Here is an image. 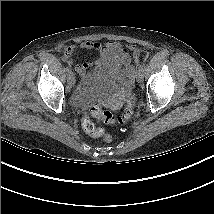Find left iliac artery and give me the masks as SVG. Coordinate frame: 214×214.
<instances>
[{
    "label": "left iliac artery",
    "instance_id": "obj_1",
    "mask_svg": "<svg viewBox=\"0 0 214 214\" xmlns=\"http://www.w3.org/2000/svg\"><path fill=\"white\" fill-rule=\"evenodd\" d=\"M139 71H141V72L144 71V64L139 66Z\"/></svg>",
    "mask_w": 214,
    "mask_h": 214
}]
</instances>
